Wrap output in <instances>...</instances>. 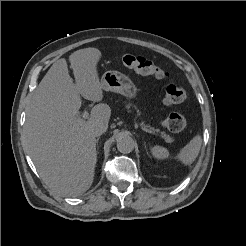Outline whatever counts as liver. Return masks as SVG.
<instances>
[{
	"mask_svg": "<svg viewBox=\"0 0 246 246\" xmlns=\"http://www.w3.org/2000/svg\"><path fill=\"white\" fill-rule=\"evenodd\" d=\"M101 52L85 48L69 56L76 84L65 59L56 61L39 83L28 105L24 142L40 177L58 193L78 196L94 180L96 140L91 130L108 127L111 109L95 105L86 121L79 116L80 95L93 102L103 99L97 64Z\"/></svg>",
	"mask_w": 246,
	"mask_h": 246,
	"instance_id": "1",
	"label": "liver"
}]
</instances>
